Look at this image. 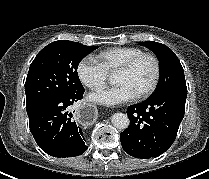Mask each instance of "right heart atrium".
<instances>
[{
  "label": "right heart atrium",
  "instance_id": "d8ad5b80",
  "mask_svg": "<svg viewBox=\"0 0 209 179\" xmlns=\"http://www.w3.org/2000/svg\"><path fill=\"white\" fill-rule=\"evenodd\" d=\"M77 75L80 81L91 90L102 88L108 79V74L93 57H84L77 65Z\"/></svg>",
  "mask_w": 209,
  "mask_h": 179
}]
</instances>
